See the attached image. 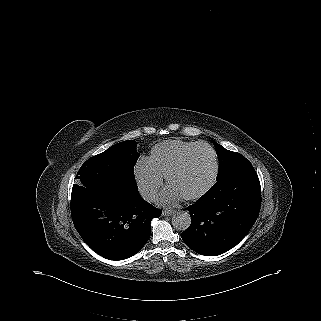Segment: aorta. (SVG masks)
<instances>
[{
  "label": "aorta",
  "instance_id": "obj_1",
  "mask_svg": "<svg viewBox=\"0 0 321 321\" xmlns=\"http://www.w3.org/2000/svg\"><path fill=\"white\" fill-rule=\"evenodd\" d=\"M172 225L178 231H185L191 225L190 214L186 211H177L172 216Z\"/></svg>",
  "mask_w": 321,
  "mask_h": 321
}]
</instances>
